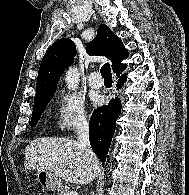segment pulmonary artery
<instances>
[{"label": "pulmonary artery", "instance_id": "e3ab8cb5", "mask_svg": "<svg viewBox=\"0 0 189 195\" xmlns=\"http://www.w3.org/2000/svg\"><path fill=\"white\" fill-rule=\"evenodd\" d=\"M88 82L90 87L93 89H100L103 86V79L101 77V74L97 71H93L90 73Z\"/></svg>", "mask_w": 189, "mask_h": 195}]
</instances>
